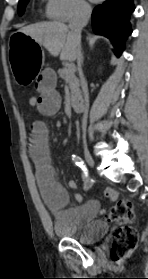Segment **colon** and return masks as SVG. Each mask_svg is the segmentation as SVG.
I'll use <instances>...</instances> for the list:
<instances>
[{"label":"colon","mask_w":148,"mask_h":279,"mask_svg":"<svg viewBox=\"0 0 148 279\" xmlns=\"http://www.w3.org/2000/svg\"><path fill=\"white\" fill-rule=\"evenodd\" d=\"M28 104L32 108L38 105V97L31 95ZM109 222L119 224L111 238V257L114 261H120L127 257L137 246L138 231L132 226L135 219L133 205L128 200L118 201L106 216Z\"/></svg>","instance_id":"5ec220e1"}]
</instances>
